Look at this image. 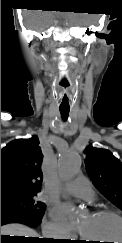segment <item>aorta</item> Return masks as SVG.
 Here are the masks:
<instances>
[{
  "label": "aorta",
  "mask_w": 122,
  "mask_h": 243,
  "mask_svg": "<svg viewBox=\"0 0 122 243\" xmlns=\"http://www.w3.org/2000/svg\"><path fill=\"white\" fill-rule=\"evenodd\" d=\"M81 160L74 152L63 153L58 162V174L65 181L72 180L80 171Z\"/></svg>",
  "instance_id": "762f6f07"
}]
</instances>
